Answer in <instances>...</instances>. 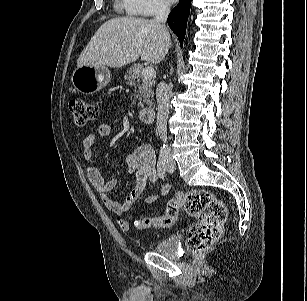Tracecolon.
I'll return each instance as SVG.
<instances>
[{"mask_svg": "<svg viewBox=\"0 0 307 301\" xmlns=\"http://www.w3.org/2000/svg\"><path fill=\"white\" fill-rule=\"evenodd\" d=\"M69 108L79 126L97 119V106L83 98L72 99ZM181 211L197 219L189 227L187 234L186 244L191 252L202 253L221 237L222 226L227 217L225 205L204 189L176 193L168 201L164 215L141 218L135 221V226L138 229L170 227L177 221Z\"/></svg>", "mask_w": 307, "mask_h": 301, "instance_id": "5ec220e1", "label": "colon"}]
</instances>
